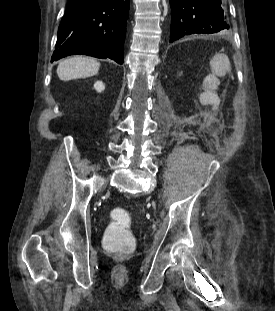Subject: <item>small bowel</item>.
<instances>
[{
	"label": "small bowel",
	"instance_id": "obj_1",
	"mask_svg": "<svg viewBox=\"0 0 275 311\" xmlns=\"http://www.w3.org/2000/svg\"><path fill=\"white\" fill-rule=\"evenodd\" d=\"M235 61L234 55L209 56L210 63L206 73L199 82L201 93L199 102L203 103L205 112H220L222 106L221 80H227L230 62Z\"/></svg>",
	"mask_w": 275,
	"mask_h": 311
}]
</instances>
